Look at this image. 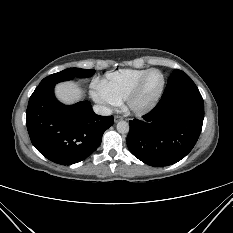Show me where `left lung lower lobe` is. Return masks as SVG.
<instances>
[{
	"label": "left lung lower lobe",
	"mask_w": 233,
	"mask_h": 233,
	"mask_svg": "<svg viewBox=\"0 0 233 233\" xmlns=\"http://www.w3.org/2000/svg\"><path fill=\"white\" fill-rule=\"evenodd\" d=\"M203 119L204 102L197 86L187 74L175 69L156 107L142 120L129 122L127 146L148 165L174 164L196 144Z\"/></svg>",
	"instance_id": "1"
}]
</instances>
